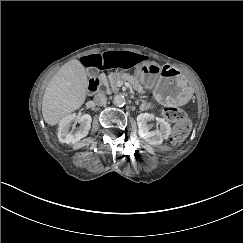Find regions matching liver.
Returning a JSON list of instances; mask_svg holds the SVG:
<instances>
[{"mask_svg": "<svg viewBox=\"0 0 243 243\" xmlns=\"http://www.w3.org/2000/svg\"><path fill=\"white\" fill-rule=\"evenodd\" d=\"M88 79L79 60L64 64L45 89L42 114L46 123L55 125L85 101Z\"/></svg>", "mask_w": 243, "mask_h": 243, "instance_id": "1", "label": "liver"}]
</instances>
